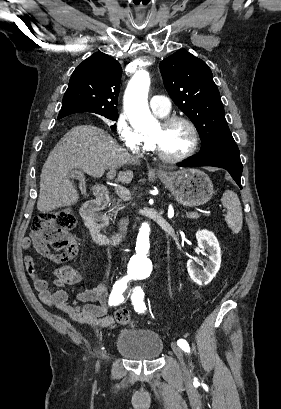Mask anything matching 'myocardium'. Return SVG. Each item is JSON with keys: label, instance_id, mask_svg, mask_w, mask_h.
I'll return each instance as SVG.
<instances>
[{"label": "myocardium", "instance_id": "myocardium-1", "mask_svg": "<svg viewBox=\"0 0 281 409\" xmlns=\"http://www.w3.org/2000/svg\"><path fill=\"white\" fill-rule=\"evenodd\" d=\"M174 122H181L184 125H186V127L188 128L190 134H191V144L188 148V150L179 155V156H169L167 154H165L159 147L158 145V141L155 137L153 136H149V135H145V142H146V146L147 149L150 150L151 152H153V154L155 156H157L159 159H161L164 162L167 163H179V162H183L185 160H187L188 158H190L191 156H193L195 154V152L198 149V145H199V134H198V130L196 128V126L194 125V123L187 117L183 116V115H169L166 116L162 119H160V121L158 122L159 127L160 128H165L168 125L174 123Z\"/></svg>", "mask_w": 281, "mask_h": 409}]
</instances>
